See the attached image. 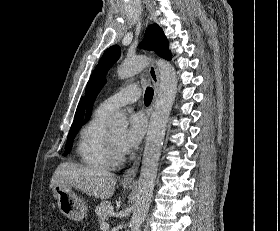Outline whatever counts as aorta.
<instances>
[{
    "label": "aorta",
    "instance_id": "aorta-1",
    "mask_svg": "<svg viewBox=\"0 0 280 231\" xmlns=\"http://www.w3.org/2000/svg\"><path fill=\"white\" fill-rule=\"evenodd\" d=\"M150 62L151 60L147 56H137L134 60H124L117 70V76L119 80L131 78V76L142 72ZM156 64L159 70L160 84L145 139L140 177L130 221L131 231H141V225L150 207L164 135L177 94L175 68L166 60H158ZM107 125L110 129L124 131L128 125V119L123 112H119V114L107 119Z\"/></svg>",
    "mask_w": 280,
    "mask_h": 231
}]
</instances>
